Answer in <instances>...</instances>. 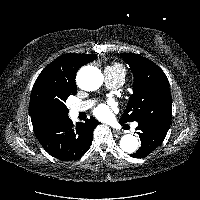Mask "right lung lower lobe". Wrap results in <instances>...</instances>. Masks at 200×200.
Wrapping results in <instances>:
<instances>
[{
  "label": "right lung lower lobe",
  "mask_w": 200,
  "mask_h": 200,
  "mask_svg": "<svg viewBox=\"0 0 200 200\" xmlns=\"http://www.w3.org/2000/svg\"><path fill=\"white\" fill-rule=\"evenodd\" d=\"M99 122L91 117L85 123L73 124L66 116L48 117L34 133L45 150L63 161L79 159L91 146L93 130Z\"/></svg>",
  "instance_id": "obj_1"
}]
</instances>
